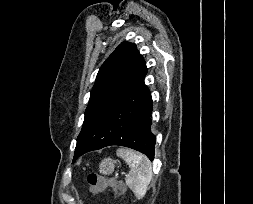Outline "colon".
I'll return each mask as SVG.
<instances>
[{
    "mask_svg": "<svg viewBox=\"0 0 253 204\" xmlns=\"http://www.w3.org/2000/svg\"><path fill=\"white\" fill-rule=\"evenodd\" d=\"M87 181L89 185V190L92 193H98L102 191L107 184H109L113 190L117 193L124 192V185L121 182L107 179L106 177L99 175L97 173H90L87 176Z\"/></svg>",
    "mask_w": 253,
    "mask_h": 204,
    "instance_id": "1",
    "label": "colon"
}]
</instances>
